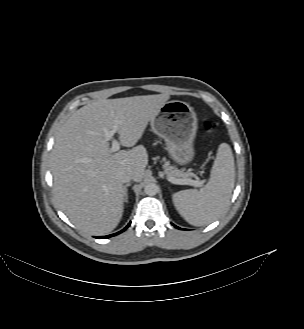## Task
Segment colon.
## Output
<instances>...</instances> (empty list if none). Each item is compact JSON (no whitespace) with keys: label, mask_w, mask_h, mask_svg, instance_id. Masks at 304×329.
<instances>
[{"label":"colon","mask_w":304,"mask_h":329,"mask_svg":"<svg viewBox=\"0 0 304 329\" xmlns=\"http://www.w3.org/2000/svg\"><path fill=\"white\" fill-rule=\"evenodd\" d=\"M202 127H203V130L207 133H209L213 130V124L208 120L203 121Z\"/></svg>","instance_id":"colon-1"}]
</instances>
